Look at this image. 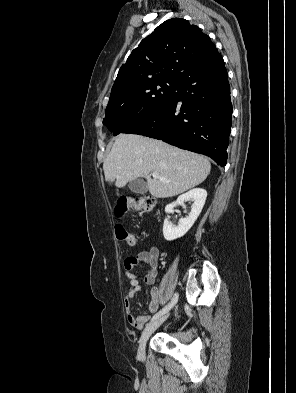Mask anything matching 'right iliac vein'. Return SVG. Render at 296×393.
<instances>
[{
  "label": "right iliac vein",
  "instance_id": "63e3f726",
  "mask_svg": "<svg viewBox=\"0 0 296 393\" xmlns=\"http://www.w3.org/2000/svg\"><path fill=\"white\" fill-rule=\"evenodd\" d=\"M169 314H166L155 321L151 322L148 324L145 329L142 332V335L139 340V347H138V357L143 358L145 355V347H146V342L151 336V334L161 326V324L167 319Z\"/></svg>",
  "mask_w": 296,
  "mask_h": 393
}]
</instances>
